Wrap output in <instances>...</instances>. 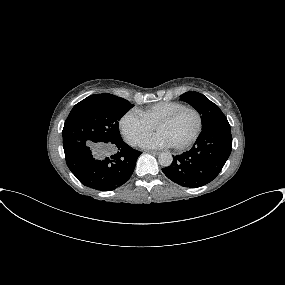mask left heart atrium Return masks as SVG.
Returning <instances> with one entry per match:
<instances>
[{
	"instance_id": "1",
	"label": "left heart atrium",
	"mask_w": 285,
	"mask_h": 285,
	"mask_svg": "<svg viewBox=\"0 0 285 285\" xmlns=\"http://www.w3.org/2000/svg\"><path fill=\"white\" fill-rule=\"evenodd\" d=\"M142 146L147 148H167L172 146L167 137L162 133H156L142 142Z\"/></svg>"
}]
</instances>
